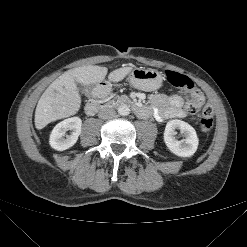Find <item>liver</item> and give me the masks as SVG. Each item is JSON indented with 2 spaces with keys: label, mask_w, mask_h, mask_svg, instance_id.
Returning <instances> with one entry per match:
<instances>
[{
  "label": "liver",
  "mask_w": 247,
  "mask_h": 247,
  "mask_svg": "<svg viewBox=\"0 0 247 247\" xmlns=\"http://www.w3.org/2000/svg\"><path fill=\"white\" fill-rule=\"evenodd\" d=\"M132 67L116 69L108 75L112 82L123 80ZM108 73L106 67L82 66L68 70L54 80L40 97L35 110V127L40 130L49 123L69 117L78 112L81 106V96L76 82L90 85L102 82Z\"/></svg>",
  "instance_id": "1"
}]
</instances>
